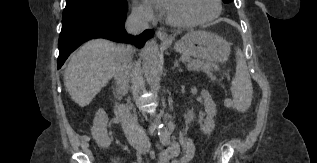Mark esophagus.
Returning a JSON list of instances; mask_svg holds the SVG:
<instances>
[{"instance_id":"obj_1","label":"esophagus","mask_w":317,"mask_h":163,"mask_svg":"<svg viewBox=\"0 0 317 163\" xmlns=\"http://www.w3.org/2000/svg\"><path fill=\"white\" fill-rule=\"evenodd\" d=\"M156 37L163 42H168L171 40V38L168 36V34L164 31H157L156 32Z\"/></svg>"}]
</instances>
